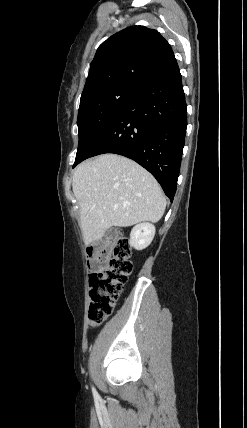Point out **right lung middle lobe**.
Returning a JSON list of instances; mask_svg holds the SVG:
<instances>
[{"label":"right lung middle lobe","mask_w":247,"mask_h":428,"mask_svg":"<svg viewBox=\"0 0 247 428\" xmlns=\"http://www.w3.org/2000/svg\"><path fill=\"white\" fill-rule=\"evenodd\" d=\"M139 91L128 86H113L81 95L77 120L79 143L76 159Z\"/></svg>","instance_id":"dd1d6c3e"}]
</instances>
